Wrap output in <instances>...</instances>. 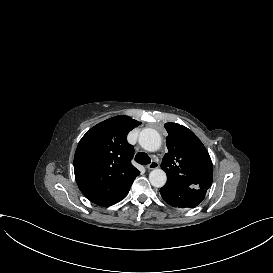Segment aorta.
Masks as SVG:
<instances>
[{"instance_id":"obj_1","label":"aorta","mask_w":273,"mask_h":273,"mask_svg":"<svg viewBox=\"0 0 273 273\" xmlns=\"http://www.w3.org/2000/svg\"><path fill=\"white\" fill-rule=\"evenodd\" d=\"M161 137L154 129H144L139 134V144L149 152L157 151L161 146ZM149 181L152 186L160 188L166 184L167 176L162 169H154L149 174Z\"/></svg>"}]
</instances>
